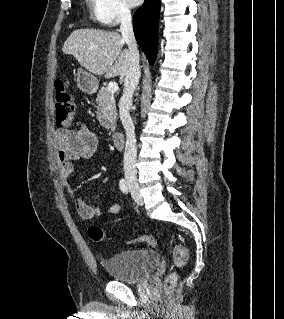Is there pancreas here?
I'll return each mask as SVG.
<instances>
[{
  "label": "pancreas",
  "instance_id": "1",
  "mask_svg": "<svg viewBox=\"0 0 284 319\" xmlns=\"http://www.w3.org/2000/svg\"><path fill=\"white\" fill-rule=\"evenodd\" d=\"M96 113L98 121L104 128L115 127L117 119L115 99L107 89H102L97 94Z\"/></svg>",
  "mask_w": 284,
  "mask_h": 319
}]
</instances>
